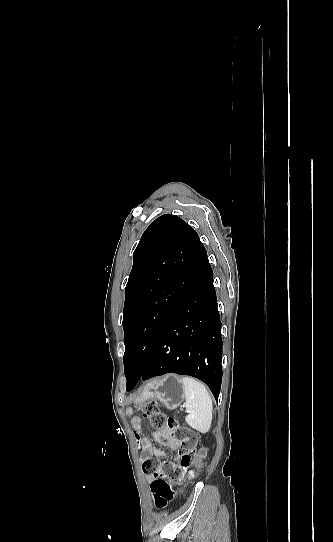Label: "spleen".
Wrapping results in <instances>:
<instances>
[{
  "mask_svg": "<svg viewBox=\"0 0 333 542\" xmlns=\"http://www.w3.org/2000/svg\"><path fill=\"white\" fill-rule=\"evenodd\" d=\"M185 394V408L187 416L186 424L201 432L207 434L212 424L213 404L211 396L202 382H197L194 378H181Z\"/></svg>",
  "mask_w": 333,
  "mask_h": 542,
  "instance_id": "spleen-1",
  "label": "spleen"
}]
</instances>
